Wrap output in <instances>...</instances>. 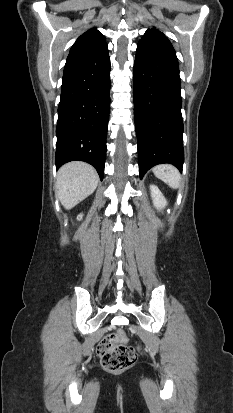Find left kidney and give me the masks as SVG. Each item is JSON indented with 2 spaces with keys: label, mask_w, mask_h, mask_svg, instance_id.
Masks as SVG:
<instances>
[{
  "label": "left kidney",
  "mask_w": 233,
  "mask_h": 413,
  "mask_svg": "<svg viewBox=\"0 0 233 413\" xmlns=\"http://www.w3.org/2000/svg\"><path fill=\"white\" fill-rule=\"evenodd\" d=\"M150 191L154 206L158 210H162L167 205L165 197L163 196L159 188L155 185H150Z\"/></svg>",
  "instance_id": "obj_1"
}]
</instances>
